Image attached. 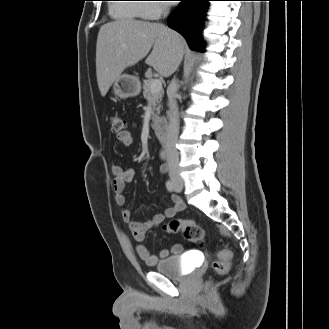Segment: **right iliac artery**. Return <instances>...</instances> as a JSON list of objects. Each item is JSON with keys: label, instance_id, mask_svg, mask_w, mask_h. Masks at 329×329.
I'll return each mask as SVG.
<instances>
[{"label": "right iliac artery", "instance_id": "obj_1", "mask_svg": "<svg viewBox=\"0 0 329 329\" xmlns=\"http://www.w3.org/2000/svg\"><path fill=\"white\" fill-rule=\"evenodd\" d=\"M166 188H167V190L170 191V192L174 191L175 188H174V184H173V182L170 181V180H168V181L166 182Z\"/></svg>", "mask_w": 329, "mask_h": 329}]
</instances>
